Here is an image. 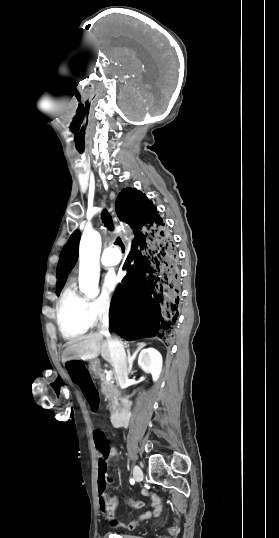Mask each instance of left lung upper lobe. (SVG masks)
I'll use <instances>...</instances> for the list:
<instances>
[{
  "label": "left lung upper lobe",
  "mask_w": 279,
  "mask_h": 538,
  "mask_svg": "<svg viewBox=\"0 0 279 538\" xmlns=\"http://www.w3.org/2000/svg\"><path fill=\"white\" fill-rule=\"evenodd\" d=\"M81 234L78 230L74 231L68 243L64 246L59 263L57 266V295L66 281L68 274L71 272L78 258V244Z\"/></svg>",
  "instance_id": "5c2ea615"
}]
</instances>
